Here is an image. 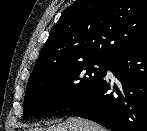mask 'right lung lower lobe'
I'll use <instances>...</instances> for the list:
<instances>
[{
	"instance_id": "obj_1",
	"label": "right lung lower lobe",
	"mask_w": 147,
	"mask_h": 131,
	"mask_svg": "<svg viewBox=\"0 0 147 131\" xmlns=\"http://www.w3.org/2000/svg\"><path fill=\"white\" fill-rule=\"evenodd\" d=\"M108 69L117 83L100 80L68 109L111 131H147V38L115 55Z\"/></svg>"
}]
</instances>
